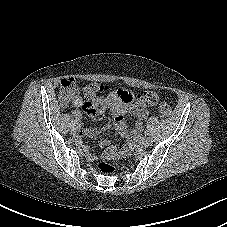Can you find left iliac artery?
<instances>
[{"label": "left iliac artery", "instance_id": "obj_1", "mask_svg": "<svg viewBox=\"0 0 227 227\" xmlns=\"http://www.w3.org/2000/svg\"><path fill=\"white\" fill-rule=\"evenodd\" d=\"M145 134H146V135H149V131H146Z\"/></svg>", "mask_w": 227, "mask_h": 227}]
</instances>
